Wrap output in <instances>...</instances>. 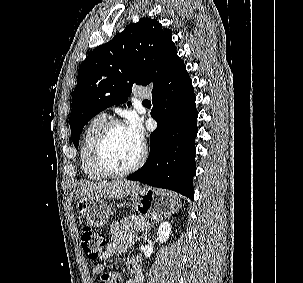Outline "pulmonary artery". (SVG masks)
I'll use <instances>...</instances> for the list:
<instances>
[{
	"label": "pulmonary artery",
	"mask_w": 303,
	"mask_h": 283,
	"mask_svg": "<svg viewBox=\"0 0 303 283\" xmlns=\"http://www.w3.org/2000/svg\"><path fill=\"white\" fill-rule=\"evenodd\" d=\"M134 95L136 98H149L151 96V92L146 87H138L135 90Z\"/></svg>",
	"instance_id": "1"
}]
</instances>
